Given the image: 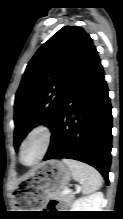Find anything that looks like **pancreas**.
<instances>
[{"label":"pancreas","instance_id":"pancreas-1","mask_svg":"<svg viewBox=\"0 0 123 219\" xmlns=\"http://www.w3.org/2000/svg\"><path fill=\"white\" fill-rule=\"evenodd\" d=\"M55 198H57L58 200H60L62 202H66L68 204H71L73 202L74 195L72 193L64 194L63 192H60V193L55 195Z\"/></svg>","mask_w":123,"mask_h":219}]
</instances>
